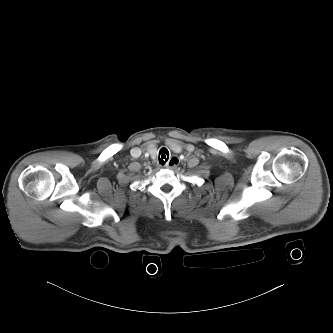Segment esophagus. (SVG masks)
I'll return each mask as SVG.
<instances>
[{"label":"esophagus","mask_w":333,"mask_h":333,"mask_svg":"<svg viewBox=\"0 0 333 333\" xmlns=\"http://www.w3.org/2000/svg\"><path fill=\"white\" fill-rule=\"evenodd\" d=\"M179 158L177 156H172L168 162L165 164L166 168L175 169L178 166Z\"/></svg>","instance_id":"esophagus-1"}]
</instances>
